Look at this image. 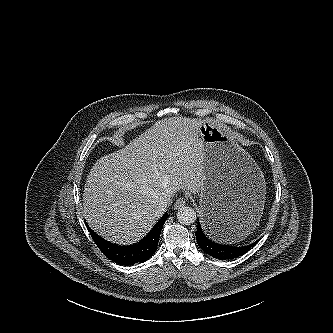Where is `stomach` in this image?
<instances>
[{"mask_svg": "<svg viewBox=\"0 0 333 333\" xmlns=\"http://www.w3.org/2000/svg\"><path fill=\"white\" fill-rule=\"evenodd\" d=\"M205 180L200 214L205 233L218 244L247 239L260 220L266 194L264 175L255 160L222 127L204 121L199 129Z\"/></svg>", "mask_w": 333, "mask_h": 333, "instance_id": "obj_1", "label": "stomach"}]
</instances>
